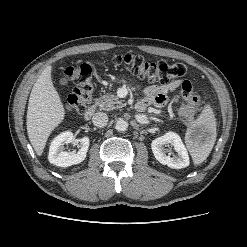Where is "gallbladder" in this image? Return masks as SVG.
<instances>
[{
    "mask_svg": "<svg viewBox=\"0 0 247 247\" xmlns=\"http://www.w3.org/2000/svg\"><path fill=\"white\" fill-rule=\"evenodd\" d=\"M59 83L61 85H67L68 84V78L67 77H62L60 80H59Z\"/></svg>",
    "mask_w": 247,
    "mask_h": 247,
    "instance_id": "1",
    "label": "gallbladder"
}]
</instances>
